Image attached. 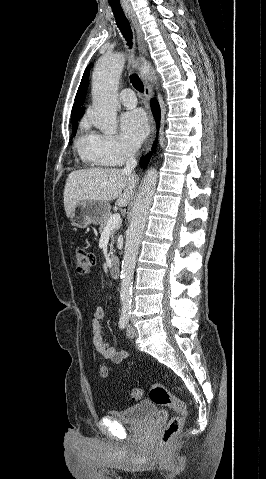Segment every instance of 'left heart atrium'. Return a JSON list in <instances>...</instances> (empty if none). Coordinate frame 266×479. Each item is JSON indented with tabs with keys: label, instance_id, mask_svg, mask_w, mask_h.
Segmentation results:
<instances>
[{
	"label": "left heart atrium",
	"instance_id": "1",
	"mask_svg": "<svg viewBox=\"0 0 266 479\" xmlns=\"http://www.w3.org/2000/svg\"><path fill=\"white\" fill-rule=\"evenodd\" d=\"M120 125L124 140L132 148L138 147L149 129L145 113L138 109L125 112L121 116Z\"/></svg>",
	"mask_w": 266,
	"mask_h": 479
}]
</instances>
